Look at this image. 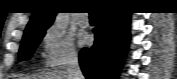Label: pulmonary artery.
Masks as SVG:
<instances>
[{
    "mask_svg": "<svg viewBox=\"0 0 177 79\" xmlns=\"http://www.w3.org/2000/svg\"><path fill=\"white\" fill-rule=\"evenodd\" d=\"M78 23L81 27H87L89 24V19L87 15H81L79 17Z\"/></svg>",
    "mask_w": 177,
    "mask_h": 79,
    "instance_id": "1",
    "label": "pulmonary artery"
}]
</instances>
